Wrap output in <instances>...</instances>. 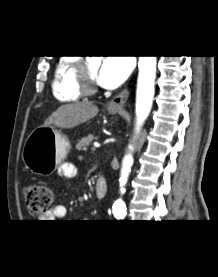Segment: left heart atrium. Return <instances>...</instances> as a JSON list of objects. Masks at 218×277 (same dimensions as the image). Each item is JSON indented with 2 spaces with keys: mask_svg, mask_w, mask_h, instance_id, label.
<instances>
[{
  "mask_svg": "<svg viewBox=\"0 0 218 277\" xmlns=\"http://www.w3.org/2000/svg\"><path fill=\"white\" fill-rule=\"evenodd\" d=\"M131 67L132 64L128 57H106L96 74V81L102 87L116 88L127 78Z\"/></svg>",
  "mask_w": 218,
  "mask_h": 277,
  "instance_id": "1",
  "label": "left heart atrium"
}]
</instances>
